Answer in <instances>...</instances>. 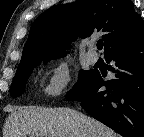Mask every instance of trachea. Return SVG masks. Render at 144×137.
Here are the masks:
<instances>
[{"label": "trachea", "instance_id": "3493384b", "mask_svg": "<svg viewBox=\"0 0 144 137\" xmlns=\"http://www.w3.org/2000/svg\"><path fill=\"white\" fill-rule=\"evenodd\" d=\"M102 47H103V41H102V40H99V41L97 42V48H98L99 50H101Z\"/></svg>", "mask_w": 144, "mask_h": 137}]
</instances>
